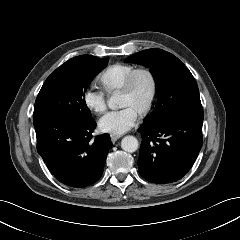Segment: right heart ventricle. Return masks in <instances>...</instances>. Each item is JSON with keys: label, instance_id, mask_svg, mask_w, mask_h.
<instances>
[{"label": "right heart ventricle", "instance_id": "right-heart-ventricle-1", "mask_svg": "<svg viewBox=\"0 0 240 240\" xmlns=\"http://www.w3.org/2000/svg\"><path fill=\"white\" fill-rule=\"evenodd\" d=\"M135 68V66L128 63L112 64L99 75V82L105 91L109 93L118 92L124 85L128 75Z\"/></svg>", "mask_w": 240, "mask_h": 240}]
</instances>
